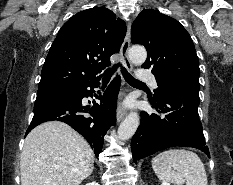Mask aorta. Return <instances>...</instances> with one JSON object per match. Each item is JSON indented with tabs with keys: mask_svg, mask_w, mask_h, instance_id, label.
Wrapping results in <instances>:
<instances>
[{
	"mask_svg": "<svg viewBox=\"0 0 233 185\" xmlns=\"http://www.w3.org/2000/svg\"><path fill=\"white\" fill-rule=\"evenodd\" d=\"M129 58L134 64H143L147 58L146 49L142 46H132L129 50ZM140 123V118L137 112H130L123 120L118 128L119 140H128L131 138Z\"/></svg>",
	"mask_w": 233,
	"mask_h": 185,
	"instance_id": "obj_1",
	"label": "aorta"
}]
</instances>
